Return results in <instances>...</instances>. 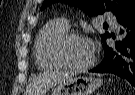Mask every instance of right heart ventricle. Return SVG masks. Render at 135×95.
I'll list each match as a JSON object with an SVG mask.
<instances>
[{
	"instance_id": "right-heart-ventricle-1",
	"label": "right heart ventricle",
	"mask_w": 135,
	"mask_h": 95,
	"mask_svg": "<svg viewBox=\"0 0 135 95\" xmlns=\"http://www.w3.org/2000/svg\"><path fill=\"white\" fill-rule=\"evenodd\" d=\"M68 30V24L58 19L47 22L41 28L34 45L35 60L40 69L52 70L62 68V65L54 56V45L59 37Z\"/></svg>"
}]
</instances>
